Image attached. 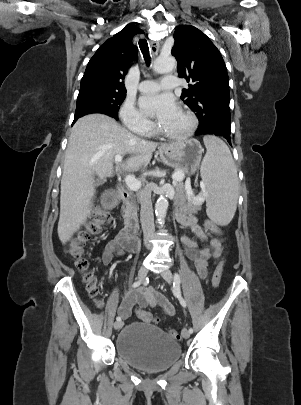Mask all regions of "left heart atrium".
I'll return each instance as SVG.
<instances>
[{"label": "left heart atrium", "mask_w": 301, "mask_h": 405, "mask_svg": "<svg viewBox=\"0 0 301 405\" xmlns=\"http://www.w3.org/2000/svg\"><path fill=\"white\" fill-rule=\"evenodd\" d=\"M142 111L153 114L163 124L179 114L180 107L171 94L144 95L139 100Z\"/></svg>", "instance_id": "obj_1"}]
</instances>
